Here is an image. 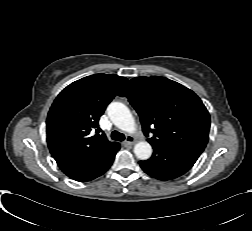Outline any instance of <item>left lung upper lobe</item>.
I'll use <instances>...</instances> for the list:
<instances>
[{
  "instance_id": "5c2ea615",
  "label": "left lung upper lobe",
  "mask_w": 252,
  "mask_h": 231,
  "mask_svg": "<svg viewBox=\"0 0 252 231\" xmlns=\"http://www.w3.org/2000/svg\"><path fill=\"white\" fill-rule=\"evenodd\" d=\"M140 116L143 132L151 145L206 147L210 116L200 98L185 86L165 77H137L119 92Z\"/></svg>"
}]
</instances>
